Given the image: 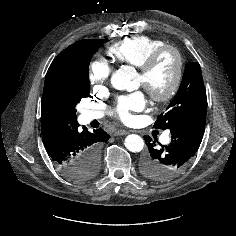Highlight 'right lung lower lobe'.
Wrapping results in <instances>:
<instances>
[{
  "mask_svg": "<svg viewBox=\"0 0 236 236\" xmlns=\"http://www.w3.org/2000/svg\"><path fill=\"white\" fill-rule=\"evenodd\" d=\"M78 127L75 120L69 125L43 129L42 140L48 155L64 174L71 180L83 181L87 163L92 156L99 155L100 146L110 136L101 128L89 132Z\"/></svg>",
  "mask_w": 236,
  "mask_h": 236,
  "instance_id": "right-lung-lower-lobe-1",
  "label": "right lung lower lobe"
}]
</instances>
